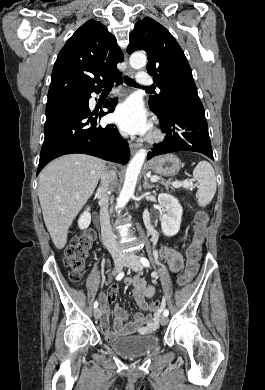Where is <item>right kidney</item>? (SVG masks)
<instances>
[{"label":"right kidney","instance_id":"1","mask_svg":"<svg viewBox=\"0 0 265 390\" xmlns=\"http://www.w3.org/2000/svg\"><path fill=\"white\" fill-rule=\"evenodd\" d=\"M90 208L87 207L86 210L80 215L78 220V225L80 229H86L91 223V214Z\"/></svg>","mask_w":265,"mask_h":390}]
</instances>
